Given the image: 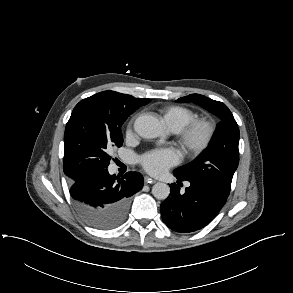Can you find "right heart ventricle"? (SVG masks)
Returning a JSON list of instances; mask_svg holds the SVG:
<instances>
[{"label":"right heart ventricle","mask_w":293,"mask_h":293,"mask_svg":"<svg viewBox=\"0 0 293 293\" xmlns=\"http://www.w3.org/2000/svg\"><path fill=\"white\" fill-rule=\"evenodd\" d=\"M161 119L171 132H178L197 117L194 110L181 105H168L160 109Z\"/></svg>","instance_id":"obj_1"}]
</instances>
